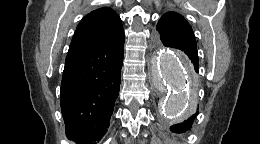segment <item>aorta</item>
I'll list each match as a JSON object with an SVG mask.
<instances>
[{"instance_id": "obj_1", "label": "aorta", "mask_w": 260, "mask_h": 144, "mask_svg": "<svg viewBox=\"0 0 260 144\" xmlns=\"http://www.w3.org/2000/svg\"><path fill=\"white\" fill-rule=\"evenodd\" d=\"M153 82L156 88L167 91L162 101L165 115L174 116L188 108L192 67L180 52L161 47L152 62Z\"/></svg>"}]
</instances>
